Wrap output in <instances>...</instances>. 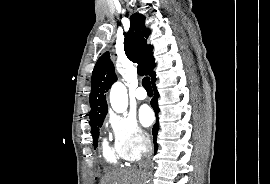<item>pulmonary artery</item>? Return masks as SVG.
<instances>
[{"instance_id": "e3ab8cb5", "label": "pulmonary artery", "mask_w": 270, "mask_h": 184, "mask_svg": "<svg viewBox=\"0 0 270 184\" xmlns=\"http://www.w3.org/2000/svg\"><path fill=\"white\" fill-rule=\"evenodd\" d=\"M135 97L138 99V100H144L146 99L147 97V93L146 91L144 90V88L142 87H138L135 91Z\"/></svg>"}]
</instances>
